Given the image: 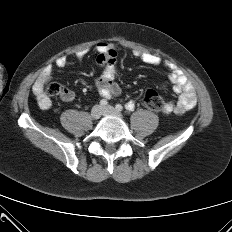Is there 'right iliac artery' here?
I'll list each match as a JSON object with an SVG mask.
<instances>
[{
	"instance_id": "obj_1",
	"label": "right iliac artery",
	"mask_w": 232,
	"mask_h": 232,
	"mask_svg": "<svg viewBox=\"0 0 232 232\" xmlns=\"http://www.w3.org/2000/svg\"><path fill=\"white\" fill-rule=\"evenodd\" d=\"M108 104V102H107V100H105V99H102L101 101H100V105L101 106H106Z\"/></svg>"
}]
</instances>
